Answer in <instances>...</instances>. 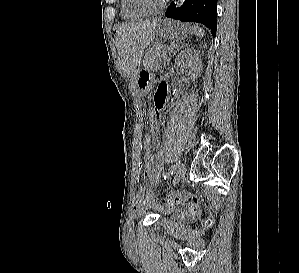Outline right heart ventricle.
<instances>
[{
	"instance_id": "right-heart-ventricle-1",
	"label": "right heart ventricle",
	"mask_w": 299,
	"mask_h": 273,
	"mask_svg": "<svg viewBox=\"0 0 299 273\" xmlns=\"http://www.w3.org/2000/svg\"><path fill=\"white\" fill-rule=\"evenodd\" d=\"M120 14L128 21H138L147 16V13L138 10L131 0H121Z\"/></svg>"
}]
</instances>
